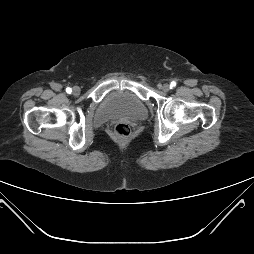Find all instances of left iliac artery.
Masks as SVG:
<instances>
[{
  "mask_svg": "<svg viewBox=\"0 0 254 254\" xmlns=\"http://www.w3.org/2000/svg\"><path fill=\"white\" fill-rule=\"evenodd\" d=\"M175 86H176V82H174V81L171 82V84H170V89H171V88H174Z\"/></svg>",
  "mask_w": 254,
  "mask_h": 254,
  "instance_id": "obj_1",
  "label": "left iliac artery"
}]
</instances>
